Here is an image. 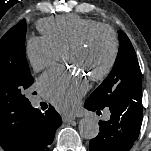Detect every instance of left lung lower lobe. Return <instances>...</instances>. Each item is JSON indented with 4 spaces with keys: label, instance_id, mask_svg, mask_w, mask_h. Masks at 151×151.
Instances as JSON below:
<instances>
[{
    "label": "left lung lower lobe",
    "instance_id": "obj_1",
    "mask_svg": "<svg viewBox=\"0 0 151 151\" xmlns=\"http://www.w3.org/2000/svg\"><path fill=\"white\" fill-rule=\"evenodd\" d=\"M85 108L101 113L86 100ZM111 117L100 121V132L89 143L90 151H129L138 138L143 111L141 87L132 88L124 101L109 107Z\"/></svg>",
    "mask_w": 151,
    "mask_h": 151
}]
</instances>
